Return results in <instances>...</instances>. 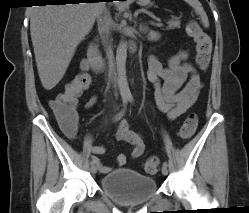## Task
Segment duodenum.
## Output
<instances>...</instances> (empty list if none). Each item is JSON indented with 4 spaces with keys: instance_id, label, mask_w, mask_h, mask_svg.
Wrapping results in <instances>:
<instances>
[{
    "instance_id": "1",
    "label": "duodenum",
    "mask_w": 249,
    "mask_h": 213,
    "mask_svg": "<svg viewBox=\"0 0 249 213\" xmlns=\"http://www.w3.org/2000/svg\"><path fill=\"white\" fill-rule=\"evenodd\" d=\"M87 64L95 71L101 72L105 69V61L99 54L97 44L92 42L88 47Z\"/></svg>"
}]
</instances>
